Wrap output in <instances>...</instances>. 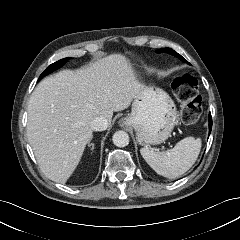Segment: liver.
I'll use <instances>...</instances> for the list:
<instances>
[{"mask_svg": "<svg viewBox=\"0 0 240 240\" xmlns=\"http://www.w3.org/2000/svg\"><path fill=\"white\" fill-rule=\"evenodd\" d=\"M121 54L79 70H63L42 80L28 103L27 136L42 172L64 184L92 139L90 123L128 108L142 89Z\"/></svg>", "mask_w": 240, "mask_h": 240, "instance_id": "1", "label": "liver"}]
</instances>
